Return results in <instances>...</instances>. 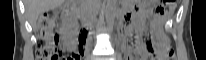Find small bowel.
Returning <instances> with one entry per match:
<instances>
[{
  "mask_svg": "<svg viewBox=\"0 0 206 60\" xmlns=\"http://www.w3.org/2000/svg\"><path fill=\"white\" fill-rule=\"evenodd\" d=\"M130 18V13L128 11L127 15H126V19ZM138 49V51L140 52V54L143 56L145 54V48L143 47V45H136L134 42L130 43V52L134 53L135 50Z\"/></svg>",
  "mask_w": 206,
  "mask_h": 60,
  "instance_id": "1",
  "label": "small bowel"
}]
</instances>
